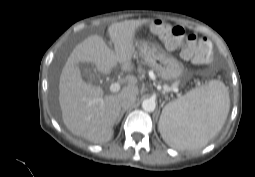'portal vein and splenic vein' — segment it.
<instances>
[{"label": "portal vein and splenic vein", "mask_w": 255, "mask_h": 177, "mask_svg": "<svg viewBox=\"0 0 255 177\" xmlns=\"http://www.w3.org/2000/svg\"><path fill=\"white\" fill-rule=\"evenodd\" d=\"M120 90V84L115 82L110 85L111 92H118Z\"/></svg>", "instance_id": "portal-vein-and-splenic-vein-1"}]
</instances>
